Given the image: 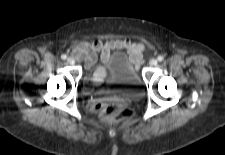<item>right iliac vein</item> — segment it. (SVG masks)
I'll use <instances>...</instances> for the list:
<instances>
[{"label": "right iliac vein", "mask_w": 225, "mask_h": 155, "mask_svg": "<svg viewBox=\"0 0 225 155\" xmlns=\"http://www.w3.org/2000/svg\"><path fill=\"white\" fill-rule=\"evenodd\" d=\"M67 62L70 64V65H73L75 63V60L72 58V57H68L67 58Z\"/></svg>", "instance_id": "63e3f726"}]
</instances>
